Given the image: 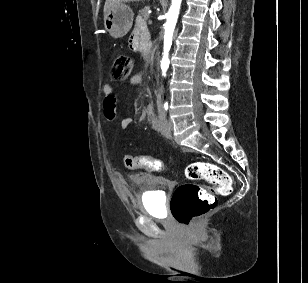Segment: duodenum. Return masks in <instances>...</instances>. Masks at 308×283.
Returning a JSON list of instances; mask_svg holds the SVG:
<instances>
[{
	"mask_svg": "<svg viewBox=\"0 0 308 283\" xmlns=\"http://www.w3.org/2000/svg\"><path fill=\"white\" fill-rule=\"evenodd\" d=\"M152 38H143L141 40L140 46L144 52L146 57H150L152 55L151 46H152Z\"/></svg>",
	"mask_w": 308,
	"mask_h": 283,
	"instance_id": "1",
	"label": "duodenum"
}]
</instances>
